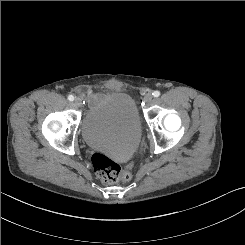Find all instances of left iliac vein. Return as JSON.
<instances>
[{
    "instance_id": "4c4485c4",
    "label": "left iliac vein",
    "mask_w": 245,
    "mask_h": 245,
    "mask_svg": "<svg viewBox=\"0 0 245 245\" xmlns=\"http://www.w3.org/2000/svg\"><path fill=\"white\" fill-rule=\"evenodd\" d=\"M152 98H153L152 94H151V93H147V94L145 95V97H144L145 103H146V104H150L151 101H152Z\"/></svg>"
}]
</instances>
